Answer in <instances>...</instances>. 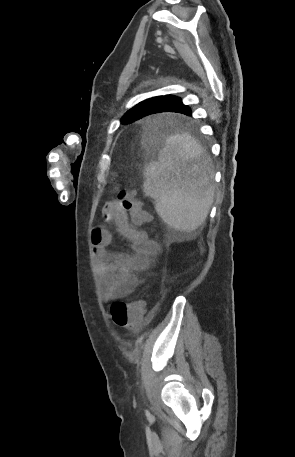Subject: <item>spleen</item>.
I'll use <instances>...</instances> for the list:
<instances>
[{
  "label": "spleen",
  "mask_w": 295,
  "mask_h": 457,
  "mask_svg": "<svg viewBox=\"0 0 295 457\" xmlns=\"http://www.w3.org/2000/svg\"><path fill=\"white\" fill-rule=\"evenodd\" d=\"M144 177V192L156 200V212L169 227L192 232L206 220L214 188L196 139L188 134L168 137L157 161L147 164Z\"/></svg>",
  "instance_id": "obj_1"
}]
</instances>
